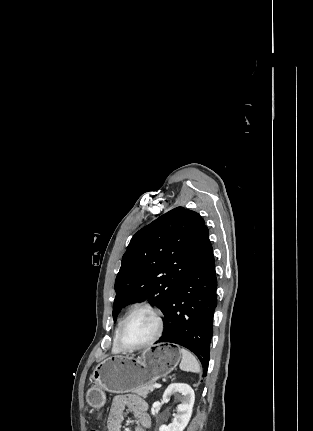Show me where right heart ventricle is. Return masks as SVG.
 Returning <instances> with one entry per match:
<instances>
[{
	"instance_id": "e07e8e85",
	"label": "right heart ventricle",
	"mask_w": 313,
	"mask_h": 431,
	"mask_svg": "<svg viewBox=\"0 0 313 431\" xmlns=\"http://www.w3.org/2000/svg\"><path fill=\"white\" fill-rule=\"evenodd\" d=\"M126 314H127V313H125V314L120 318V320H119V322H118V324H117V327H116V329H115V334H114V341H113L112 350H113L114 352H116V353H118V352L122 351V350L118 347V345H117V343H116V334H117L118 328H119V326H120V324H121L122 320H123V319H124V317L126 316Z\"/></svg>"
}]
</instances>
